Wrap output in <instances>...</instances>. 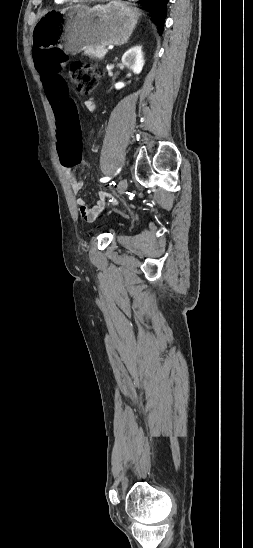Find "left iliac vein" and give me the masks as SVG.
Listing matches in <instances>:
<instances>
[{
	"label": "left iliac vein",
	"mask_w": 253,
	"mask_h": 548,
	"mask_svg": "<svg viewBox=\"0 0 253 548\" xmlns=\"http://www.w3.org/2000/svg\"><path fill=\"white\" fill-rule=\"evenodd\" d=\"M128 187L127 179H122L117 186V192L119 195H122Z\"/></svg>",
	"instance_id": "4c4485c4"
}]
</instances>
